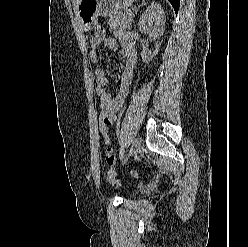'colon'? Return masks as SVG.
Returning a JSON list of instances; mask_svg holds the SVG:
<instances>
[{"mask_svg": "<svg viewBox=\"0 0 248 247\" xmlns=\"http://www.w3.org/2000/svg\"><path fill=\"white\" fill-rule=\"evenodd\" d=\"M94 36L97 38H104L105 37V31L104 28L100 25L96 26L95 31H94ZM123 111L122 110L118 116V118L115 121V135L117 138V141L119 142L121 139V129H122V115H123ZM131 174H133L134 176H138V173L135 170H131Z\"/></svg>", "mask_w": 248, "mask_h": 247, "instance_id": "obj_1", "label": "colon"}]
</instances>
